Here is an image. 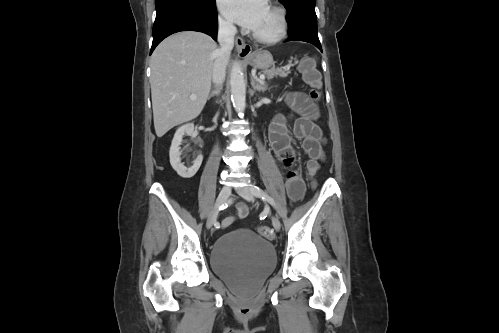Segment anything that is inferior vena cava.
<instances>
[{
	"mask_svg": "<svg viewBox=\"0 0 499 333\" xmlns=\"http://www.w3.org/2000/svg\"><path fill=\"white\" fill-rule=\"evenodd\" d=\"M236 27L232 23L219 22L218 42L220 48L217 50L216 59L213 65L212 79L216 86L222 85L226 76V66L234 46Z\"/></svg>",
	"mask_w": 499,
	"mask_h": 333,
	"instance_id": "inferior-vena-cava-1",
	"label": "inferior vena cava"
}]
</instances>
